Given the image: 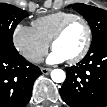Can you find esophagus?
<instances>
[{"label":"esophagus","mask_w":107,"mask_h":107,"mask_svg":"<svg viewBox=\"0 0 107 107\" xmlns=\"http://www.w3.org/2000/svg\"><path fill=\"white\" fill-rule=\"evenodd\" d=\"M51 71V68H41V72L44 74V75H47L49 74V72Z\"/></svg>","instance_id":"esophagus-1"}]
</instances>
